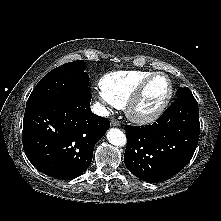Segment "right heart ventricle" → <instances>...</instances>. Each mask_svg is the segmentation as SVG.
Wrapping results in <instances>:
<instances>
[{
  "label": "right heart ventricle",
  "mask_w": 221,
  "mask_h": 221,
  "mask_svg": "<svg viewBox=\"0 0 221 221\" xmlns=\"http://www.w3.org/2000/svg\"><path fill=\"white\" fill-rule=\"evenodd\" d=\"M152 73L147 70L112 71L101 77L99 87L117 107L122 108L137 85Z\"/></svg>",
  "instance_id": "obj_1"
}]
</instances>
